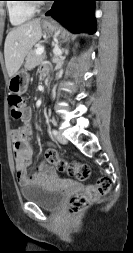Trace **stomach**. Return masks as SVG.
I'll list each match as a JSON object with an SVG mask.
<instances>
[{"label":"stomach","instance_id":"stomach-1","mask_svg":"<svg viewBox=\"0 0 133 253\" xmlns=\"http://www.w3.org/2000/svg\"><path fill=\"white\" fill-rule=\"evenodd\" d=\"M42 26L46 32L52 33L57 30V27L48 21H43ZM29 75L27 71H18L13 77L10 78L8 88L11 93L23 94L28 88Z\"/></svg>","mask_w":133,"mask_h":253}]
</instances>
